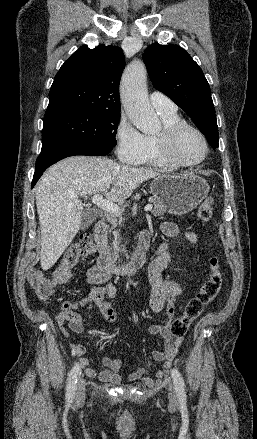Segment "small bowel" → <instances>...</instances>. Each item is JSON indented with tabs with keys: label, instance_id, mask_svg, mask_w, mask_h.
<instances>
[{
	"label": "small bowel",
	"instance_id": "1",
	"mask_svg": "<svg viewBox=\"0 0 257 439\" xmlns=\"http://www.w3.org/2000/svg\"><path fill=\"white\" fill-rule=\"evenodd\" d=\"M162 230L169 238V241L154 246L158 256L151 263L148 270V281L150 284L149 308L154 313L164 312L167 321L163 324L149 326L148 332L151 335H160L164 339V349L153 351V358L166 366H170L184 342V337L174 339L169 333V320L174 315L176 298L181 294L182 287L179 283L164 278L162 273L170 262V244L181 239L194 243L196 237L192 233H180L178 228L171 223L163 224ZM140 238H147L151 242V238L146 232L142 233ZM87 279L91 285L89 294L81 300L63 302L61 310L56 315L58 325L63 326L67 324L69 330L74 333L84 331L85 321L79 311L88 304H93L106 322L115 323L117 320V315L111 301L116 295V287L110 281V277L97 268H91ZM70 349L72 354L79 358L78 362L84 368L89 378H98L100 381L111 383L122 381L123 377L120 371L123 367V361L120 358L103 357L101 364L104 368L98 372L93 367H90V360L85 357L86 349L82 344L71 343ZM144 374L145 369L138 368L128 373L126 379L128 381L141 380Z\"/></svg>",
	"mask_w": 257,
	"mask_h": 439
}]
</instances>
